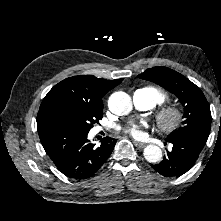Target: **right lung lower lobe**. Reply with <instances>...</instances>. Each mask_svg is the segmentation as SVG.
Segmentation results:
<instances>
[{"mask_svg": "<svg viewBox=\"0 0 221 221\" xmlns=\"http://www.w3.org/2000/svg\"><path fill=\"white\" fill-rule=\"evenodd\" d=\"M40 141L59 171L73 179L93 176L112 153L116 139L106 137L99 147L88 139V133L54 123H37Z\"/></svg>", "mask_w": 221, "mask_h": 221, "instance_id": "right-lung-lower-lobe-1", "label": "right lung lower lobe"}]
</instances>
